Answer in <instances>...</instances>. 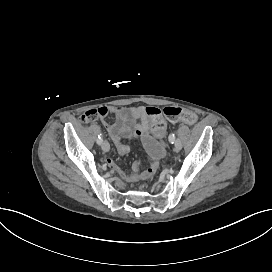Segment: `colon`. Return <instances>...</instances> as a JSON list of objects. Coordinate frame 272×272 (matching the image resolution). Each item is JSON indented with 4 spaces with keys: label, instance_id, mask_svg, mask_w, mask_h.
Wrapping results in <instances>:
<instances>
[{
    "label": "colon",
    "instance_id": "5ec220e1",
    "mask_svg": "<svg viewBox=\"0 0 272 272\" xmlns=\"http://www.w3.org/2000/svg\"><path fill=\"white\" fill-rule=\"evenodd\" d=\"M108 109L106 107H99L90 109L85 112L82 117L84 122L93 121L98 116H106ZM145 118L157 131H164L169 126L170 122H177L179 120L184 122H194L197 119V112L195 110H182L178 106L157 107L150 106L145 111Z\"/></svg>",
    "mask_w": 272,
    "mask_h": 272
}]
</instances>
